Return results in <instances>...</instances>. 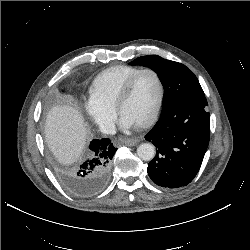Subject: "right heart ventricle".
<instances>
[{
	"mask_svg": "<svg viewBox=\"0 0 250 250\" xmlns=\"http://www.w3.org/2000/svg\"><path fill=\"white\" fill-rule=\"evenodd\" d=\"M140 69L137 66L120 65L102 71L90 86V98L106 108L114 109L122 87Z\"/></svg>",
	"mask_w": 250,
	"mask_h": 250,
	"instance_id": "1",
	"label": "right heart ventricle"
}]
</instances>
